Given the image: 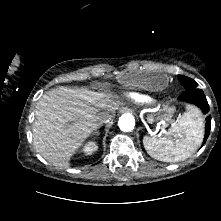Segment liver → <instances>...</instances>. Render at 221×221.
<instances>
[{"instance_id":"6515ba94","label":"liver","mask_w":221,"mask_h":221,"mask_svg":"<svg viewBox=\"0 0 221 221\" xmlns=\"http://www.w3.org/2000/svg\"><path fill=\"white\" fill-rule=\"evenodd\" d=\"M116 97L105 91L60 86L47 91L37 102L33 145L48 162L69 168L70 159L101 125L98 116L111 118L119 108Z\"/></svg>"}]
</instances>
